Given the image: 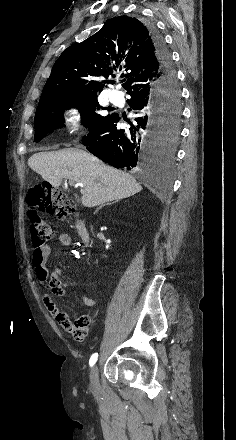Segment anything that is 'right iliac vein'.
Wrapping results in <instances>:
<instances>
[{"label": "right iliac vein", "instance_id": "right-iliac-vein-1", "mask_svg": "<svg viewBox=\"0 0 236 440\" xmlns=\"http://www.w3.org/2000/svg\"><path fill=\"white\" fill-rule=\"evenodd\" d=\"M90 388L93 391H97L99 389L98 366L97 365H95L90 372Z\"/></svg>", "mask_w": 236, "mask_h": 440}]
</instances>
